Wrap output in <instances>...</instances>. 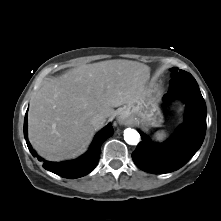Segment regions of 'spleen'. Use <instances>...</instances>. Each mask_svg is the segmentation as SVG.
<instances>
[{"label": "spleen", "instance_id": "spleen-1", "mask_svg": "<svg viewBox=\"0 0 221 221\" xmlns=\"http://www.w3.org/2000/svg\"><path fill=\"white\" fill-rule=\"evenodd\" d=\"M165 137H166L165 131H158V132H156V134H155V138H156L157 140H159V141L164 140Z\"/></svg>", "mask_w": 221, "mask_h": 221}]
</instances>
